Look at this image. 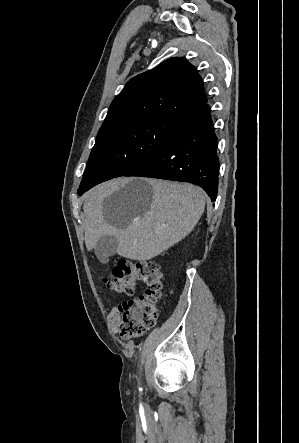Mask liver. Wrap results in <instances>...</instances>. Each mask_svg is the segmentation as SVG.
<instances>
[{
    "label": "liver",
    "mask_w": 299,
    "mask_h": 443,
    "mask_svg": "<svg viewBox=\"0 0 299 443\" xmlns=\"http://www.w3.org/2000/svg\"><path fill=\"white\" fill-rule=\"evenodd\" d=\"M204 208L203 191L192 184L152 178L110 180L85 196V245L92 250L102 236H113L118 255L150 260L189 235Z\"/></svg>",
    "instance_id": "obj_1"
}]
</instances>
